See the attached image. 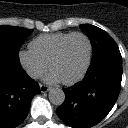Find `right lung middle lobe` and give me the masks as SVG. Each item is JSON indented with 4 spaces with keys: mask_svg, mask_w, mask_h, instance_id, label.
<instances>
[{
    "mask_svg": "<svg viewBox=\"0 0 128 128\" xmlns=\"http://www.w3.org/2000/svg\"><path fill=\"white\" fill-rule=\"evenodd\" d=\"M33 30L0 25V61L20 67L19 48Z\"/></svg>",
    "mask_w": 128,
    "mask_h": 128,
    "instance_id": "obj_1",
    "label": "right lung middle lobe"
}]
</instances>
